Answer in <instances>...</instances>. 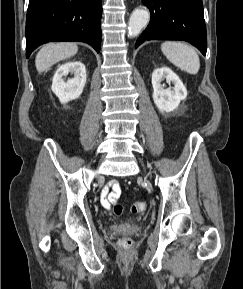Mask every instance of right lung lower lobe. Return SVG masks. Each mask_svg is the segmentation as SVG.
<instances>
[{"instance_id": "1", "label": "right lung lower lobe", "mask_w": 243, "mask_h": 289, "mask_svg": "<svg viewBox=\"0 0 243 289\" xmlns=\"http://www.w3.org/2000/svg\"><path fill=\"white\" fill-rule=\"evenodd\" d=\"M101 15L102 0H29L26 57L54 41L86 42L99 53Z\"/></svg>"}]
</instances>
